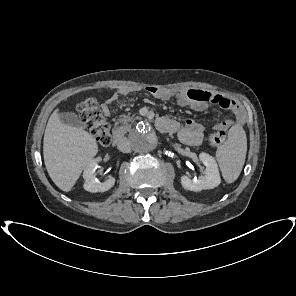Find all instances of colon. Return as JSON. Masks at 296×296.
<instances>
[{
  "mask_svg": "<svg viewBox=\"0 0 296 296\" xmlns=\"http://www.w3.org/2000/svg\"><path fill=\"white\" fill-rule=\"evenodd\" d=\"M77 112L80 120L91 131L95 140L103 147L111 143L110 125L107 122L103 110L93 98H87L77 105ZM226 139V132L218 130L208 137V143L212 147L221 145Z\"/></svg>",
  "mask_w": 296,
  "mask_h": 296,
  "instance_id": "obj_1",
  "label": "colon"
}]
</instances>
